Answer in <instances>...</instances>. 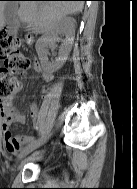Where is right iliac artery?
<instances>
[{
	"label": "right iliac artery",
	"instance_id": "1",
	"mask_svg": "<svg viewBox=\"0 0 137 189\" xmlns=\"http://www.w3.org/2000/svg\"><path fill=\"white\" fill-rule=\"evenodd\" d=\"M41 133H46V130H41ZM39 137H43V134H39ZM32 142H35L34 138H31Z\"/></svg>",
	"mask_w": 137,
	"mask_h": 189
}]
</instances>
